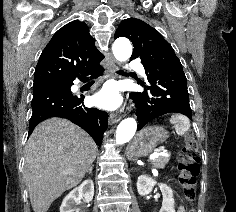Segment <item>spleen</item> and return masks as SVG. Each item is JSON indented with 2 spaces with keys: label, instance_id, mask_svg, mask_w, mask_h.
Returning <instances> with one entry per match:
<instances>
[{
  "label": "spleen",
  "instance_id": "1",
  "mask_svg": "<svg viewBox=\"0 0 236 212\" xmlns=\"http://www.w3.org/2000/svg\"><path fill=\"white\" fill-rule=\"evenodd\" d=\"M170 122L175 125L176 133L179 136L184 135L190 129V120L182 114H174L170 118Z\"/></svg>",
  "mask_w": 236,
  "mask_h": 212
}]
</instances>
